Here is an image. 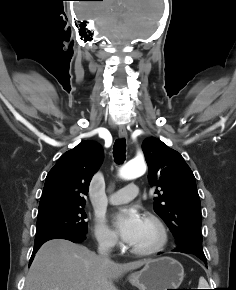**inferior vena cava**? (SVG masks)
Masks as SVG:
<instances>
[{
	"label": "inferior vena cava",
	"mask_w": 236,
	"mask_h": 290,
	"mask_svg": "<svg viewBox=\"0 0 236 290\" xmlns=\"http://www.w3.org/2000/svg\"><path fill=\"white\" fill-rule=\"evenodd\" d=\"M110 246H111V243L108 241H102L99 243L98 252L105 259H108V253H109Z\"/></svg>",
	"instance_id": "602c4592"
}]
</instances>
